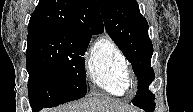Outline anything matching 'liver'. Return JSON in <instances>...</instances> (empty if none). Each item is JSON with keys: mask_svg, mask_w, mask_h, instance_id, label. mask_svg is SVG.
<instances>
[{"mask_svg": "<svg viewBox=\"0 0 193 112\" xmlns=\"http://www.w3.org/2000/svg\"><path fill=\"white\" fill-rule=\"evenodd\" d=\"M131 109L107 97H91L79 102L69 103L54 112H130Z\"/></svg>", "mask_w": 193, "mask_h": 112, "instance_id": "obj_1", "label": "liver"}]
</instances>
